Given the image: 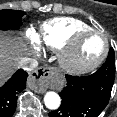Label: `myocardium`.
Returning a JSON list of instances; mask_svg holds the SVG:
<instances>
[{
    "instance_id": "1",
    "label": "myocardium",
    "mask_w": 117,
    "mask_h": 117,
    "mask_svg": "<svg viewBox=\"0 0 117 117\" xmlns=\"http://www.w3.org/2000/svg\"><path fill=\"white\" fill-rule=\"evenodd\" d=\"M90 35H98L103 39L104 48L99 57L89 63H79L75 59V53L82 39ZM109 52V40L100 30L87 29L73 34L63 45L59 52V62L61 67L71 74H86L98 68L106 59Z\"/></svg>"
}]
</instances>
